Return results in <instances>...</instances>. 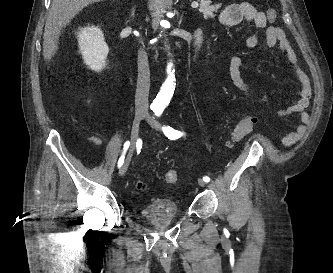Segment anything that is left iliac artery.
Segmentation results:
<instances>
[{
  "label": "left iliac artery",
  "mask_w": 333,
  "mask_h": 273,
  "mask_svg": "<svg viewBox=\"0 0 333 273\" xmlns=\"http://www.w3.org/2000/svg\"><path fill=\"white\" fill-rule=\"evenodd\" d=\"M154 112H155V114H156L157 116H160L161 113H162V110H156V111H154ZM162 129H163L164 134H165L169 139H171V140L178 139V138H180L181 136L185 135V133L180 132V131H177V130H174V129H173L172 127H170V126H164V127H162ZM203 180H204L205 182H209V181H210V178H209L208 176H204V177H203Z\"/></svg>",
  "instance_id": "1"
}]
</instances>
